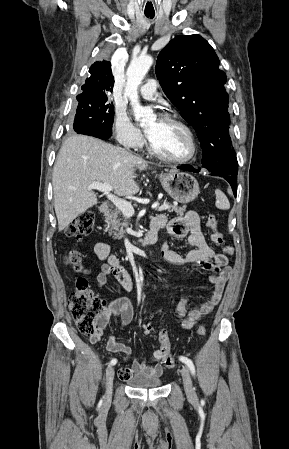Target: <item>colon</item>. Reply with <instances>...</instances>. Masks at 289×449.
I'll list each match as a JSON object with an SVG mask.
<instances>
[{
	"label": "colon",
	"instance_id": "obj_1",
	"mask_svg": "<svg viewBox=\"0 0 289 449\" xmlns=\"http://www.w3.org/2000/svg\"><path fill=\"white\" fill-rule=\"evenodd\" d=\"M95 215L92 211H85L77 216L67 228V236L72 238H81L87 235L94 224ZM206 225L211 230V241L215 245L224 243L223 234L218 229V221L215 215L209 214L206 219ZM223 251L227 255L233 254L231 246H224ZM66 263L74 270L81 271V256L76 250H71L66 256ZM69 309L80 333L86 336H93L100 327L101 316L104 311V302L90 288L89 282L84 277L76 280L75 289L70 294L68 300ZM143 333L150 335L153 327L150 324L143 325ZM206 329L200 326L197 329L199 336H204ZM159 351L162 355V361L166 367L174 366V359L171 356V344L166 329H161L158 333Z\"/></svg>",
	"mask_w": 289,
	"mask_h": 449
}]
</instances>
